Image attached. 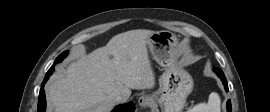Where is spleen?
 I'll return each instance as SVG.
<instances>
[{"instance_id": "spleen-1", "label": "spleen", "mask_w": 270, "mask_h": 112, "mask_svg": "<svg viewBox=\"0 0 270 112\" xmlns=\"http://www.w3.org/2000/svg\"><path fill=\"white\" fill-rule=\"evenodd\" d=\"M221 100L217 93L212 92L209 95L207 103H199L188 109L186 112H220Z\"/></svg>"}]
</instances>
